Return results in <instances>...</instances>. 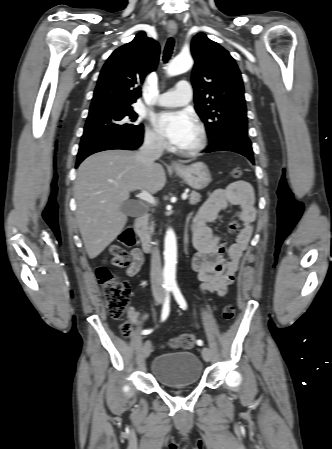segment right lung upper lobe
I'll list each match as a JSON object with an SVG mask.
<instances>
[{
    "mask_svg": "<svg viewBox=\"0 0 332 449\" xmlns=\"http://www.w3.org/2000/svg\"><path fill=\"white\" fill-rule=\"evenodd\" d=\"M159 51L145 32L116 49L100 72L89 113L131 107L141 96L146 75L156 69Z\"/></svg>",
    "mask_w": 332,
    "mask_h": 449,
    "instance_id": "1",
    "label": "right lung upper lobe"
}]
</instances>
